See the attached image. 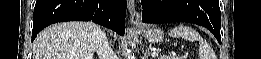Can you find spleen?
I'll use <instances>...</instances> for the list:
<instances>
[{"instance_id": "3e777b00", "label": "spleen", "mask_w": 261, "mask_h": 59, "mask_svg": "<svg viewBox=\"0 0 261 59\" xmlns=\"http://www.w3.org/2000/svg\"><path fill=\"white\" fill-rule=\"evenodd\" d=\"M169 35L171 37H176V38H182L184 40L194 42L198 41L199 42V56L201 59H214V52L207 43L206 40H204L200 34L193 28L189 26H177L174 27Z\"/></svg>"}]
</instances>
